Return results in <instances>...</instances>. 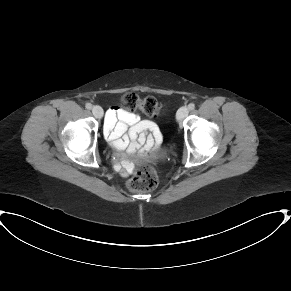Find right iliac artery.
<instances>
[{
    "instance_id": "right-iliac-artery-1",
    "label": "right iliac artery",
    "mask_w": 291,
    "mask_h": 291,
    "mask_svg": "<svg viewBox=\"0 0 291 291\" xmlns=\"http://www.w3.org/2000/svg\"><path fill=\"white\" fill-rule=\"evenodd\" d=\"M85 107H86L87 109H91V108H92V104H91V103H86Z\"/></svg>"
}]
</instances>
